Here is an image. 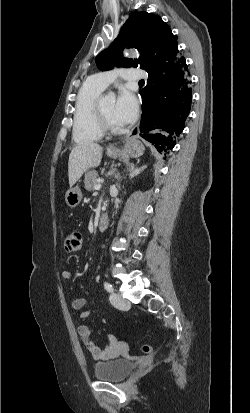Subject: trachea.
I'll return each instance as SVG.
<instances>
[{"label": "trachea", "mask_w": 250, "mask_h": 413, "mask_svg": "<svg viewBox=\"0 0 250 413\" xmlns=\"http://www.w3.org/2000/svg\"><path fill=\"white\" fill-rule=\"evenodd\" d=\"M139 83H144V80H140Z\"/></svg>", "instance_id": "1"}]
</instances>
